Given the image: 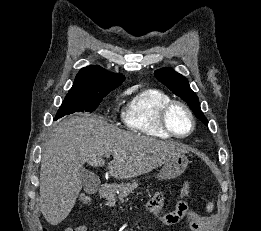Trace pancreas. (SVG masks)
I'll use <instances>...</instances> for the list:
<instances>
[{"label": "pancreas", "instance_id": "cf45deb5", "mask_svg": "<svg viewBox=\"0 0 261 231\" xmlns=\"http://www.w3.org/2000/svg\"><path fill=\"white\" fill-rule=\"evenodd\" d=\"M138 183L133 180L132 183H127L125 185H121L119 187L118 199L123 200L126 198L135 188H137ZM116 199L114 197L108 198L107 205L113 206L115 205Z\"/></svg>", "mask_w": 261, "mask_h": 231}]
</instances>
